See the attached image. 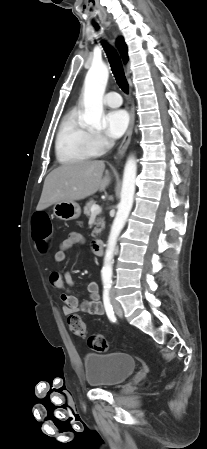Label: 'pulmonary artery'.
<instances>
[{"instance_id": "e3ab8cb5", "label": "pulmonary artery", "mask_w": 207, "mask_h": 449, "mask_svg": "<svg viewBox=\"0 0 207 449\" xmlns=\"http://www.w3.org/2000/svg\"><path fill=\"white\" fill-rule=\"evenodd\" d=\"M104 103L109 107H119L122 104V98L119 93L111 91L105 95Z\"/></svg>"}]
</instances>
